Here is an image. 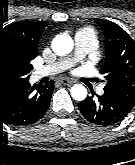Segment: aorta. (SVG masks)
I'll return each instance as SVG.
<instances>
[{
	"label": "aorta",
	"mask_w": 135,
	"mask_h": 165,
	"mask_svg": "<svg viewBox=\"0 0 135 165\" xmlns=\"http://www.w3.org/2000/svg\"><path fill=\"white\" fill-rule=\"evenodd\" d=\"M52 49L58 55L69 54L73 49V41L68 36H59L53 42ZM71 96L77 101H83L87 97V89L81 84H76L71 88Z\"/></svg>",
	"instance_id": "1"
}]
</instances>
